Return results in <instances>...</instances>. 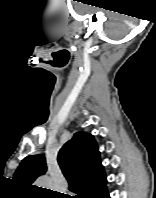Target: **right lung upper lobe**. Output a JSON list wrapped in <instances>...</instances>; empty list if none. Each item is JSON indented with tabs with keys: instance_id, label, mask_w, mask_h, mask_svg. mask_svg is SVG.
<instances>
[{
	"instance_id": "cb5924a9",
	"label": "right lung upper lobe",
	"mask_w": 156,
	"mask_h": 198,
	"mask_svg": "<svg viewBox=\"0 0 156 198\" xmlns=\"http://www.w3.org/2000/svg\"><path fill=\"white\" fill-rule=\"evenodd\" d=\"M60 168L69 182V189L81 193L84 198H94L106 188V176L100 160V152L94 137L77 132L60 149ZM46 172V160L42 155L24 158L15 172L14 179L24 185H31Z\"/></svg>"
}]
</instances>
